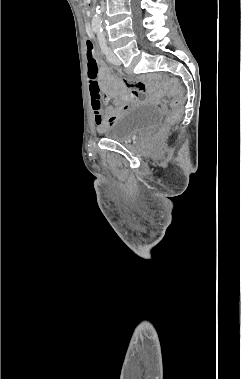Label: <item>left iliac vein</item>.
Returning <instances> with one entry per match:
<instances>
[{"instance_id":"obj_1","label":"left iliac vein","mask_w":241,"mask_h":379,"mask_svg":"<svg viewBox=\"0 0 241 379\" xmlns=\"http://www.w3.org/2000/svg\"><path fill=\"white\" fill-rule=\"evenodd\" d=\"M107 58L114 65H120L121 64L120 59L117 57V55L111 49H108Z\"/></svg>"}]
</instances>
